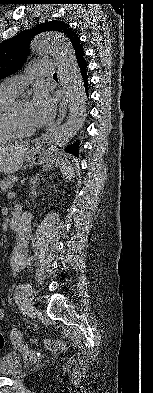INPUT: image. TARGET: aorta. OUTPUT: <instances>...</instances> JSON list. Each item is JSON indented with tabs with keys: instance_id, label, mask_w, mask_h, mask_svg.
Here are the masks:
<instances>
[{
	"instance_id": "obj_1",
	"label": "aorta",
	"mask_w": 153,
	"mask_h": 393,
	"mask_svg": "<svg viewBox=\"0 0 153 393\" xmlns=\"http://www.w3.org/2000/svg\"><path fill=\"white\" fill-rule=\"evenodd\" d=\"M30 49L34 55L49 53L56 59L57 74L68 104L69 118L64 124L49 129L45 141L52 146L65 144L82 127L87 111L86 93L75 50L67 37L56 32L38 34L31 41ZM32 218L31 212H24L15 228V244L18 247L12 255V267L17 272L22 271L28 261Z\"/></svg>"
}]
</instances>
